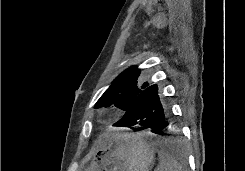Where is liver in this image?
I'll list each match as a JSON object with an SVG mask.
<instances>
[{
    "label": "liver",
    "mask_w": 245,
    "mask_h": 171,
    "mask_svg": "<svg viewBox=\"0 0 245 171\" xmlns=\"http://www.w3.org/2000/svg\"><path fill=\"white\" fill-rule=\"evenodd\" d=\"M103 137H104V136H103ZM103 137H102V138H103ZM102 138H100L99 143L102 141Z\"/></svg>",
    "instance_id": "6515ba94"
}]
</instances>
